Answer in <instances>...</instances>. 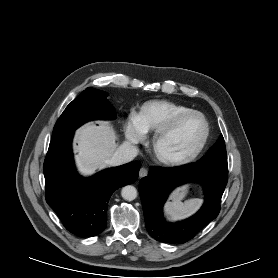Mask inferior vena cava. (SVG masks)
<instances>
[{"label": "inferior vena cava", "mask_w": 278, "mask_h": 278, "mask_svg": "<svg viewBox=\"0 0 278 278\" xmlns=\"http://www.w3.org/2000/svg\"><path fill=\"white\" fill-rule=\"evenodd\" d=\"M138 155V149L128 143H123L113 153L110 164L117 166L132 161Z\"/></svg>", "instance_id": "1"}]
</instances>
